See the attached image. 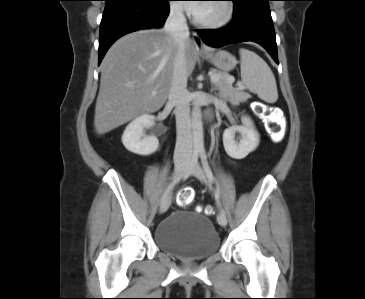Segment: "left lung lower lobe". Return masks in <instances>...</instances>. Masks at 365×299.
Masks as SVG:
<instances>
[{"label":"left lung lower lobe","instance_id":"obj_1","mask_svg":"<svg viewBox=\"0 0 365 299\" xmlns=\"http://www.w3.org/2000/svg\"><path fill=\"white\" fill-rule=\"evenodd\" d=\"M234 2L233 20L220 29L198 30L202 40L221 47L245 41L263 46L278 64L277 45L268 2L271 0H231Z\"/></svg>","mask_w":365,"mask_h":299}]
</instances>
